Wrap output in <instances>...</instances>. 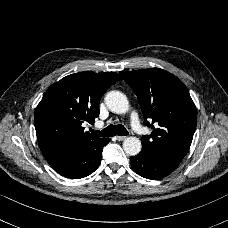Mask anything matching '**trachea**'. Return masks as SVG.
<instances>
[{
	"label": "trachea",
	"mask_w": 228,
	"mask_h": 228,
	"mask_svg": "<svg viewBox=\"0 0 228 228\" xmlns=\"http://www.w3.org/2000/svg\"><path fill=\"white\" fill-rule=\"evenodd\" d=\"M90 131L96 135V136H101V137H112L115 135H119V136H127L129 133L126 130V128L122 125H109L108 127H106L105 129H103L102 131L99 130H93L90 128Z\"/></svg>",
	"instance_id": "obj_1"
}]
</instances>
